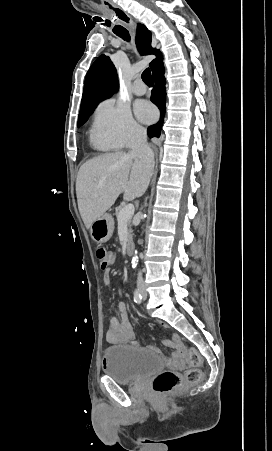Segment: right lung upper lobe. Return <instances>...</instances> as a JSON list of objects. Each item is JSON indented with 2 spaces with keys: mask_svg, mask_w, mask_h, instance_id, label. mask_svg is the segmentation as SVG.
I'll return each instance as SVG.
<instances>
[{
  "mask_svg": "<svg viewBox=\"0 0 272 451\" xmlns=\"http://www.w3.org/2000/svg\"><path fill=\"white\" fill-rule=\"evenodd\" d=\"M136 45L142 55L157 56L149 66L153 71L162 62L159 50L151 47V32L137 25ZM118 90L116 69L106 55H100L87 72L80 110L95 108L101 101L110 98Z\"/></svg>",
  "mask_w": 272,
  "mask_h": 451,
  "instance_id": "right-lung-upper-lobe-1",
  "label": "right lung upper lobe"
}]
</instances>
